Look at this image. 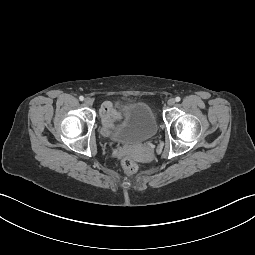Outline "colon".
Instances as JSON below:
<instances>
[{"label":"colon","instance_id":"5ec220e1","mask_svg":"<svg viewBox=\"0 0 255 255\" xmlns=\"http://www.w3.org/2000/svg\"><path fill=\"white\" fill-rule=\"evenodd\" d=\"M122 166L125 173L129 176L134 175L138 170V165L136 161L129 156H126L123 158Z\"/></svg>","mask_w":255,"mask_h":255}]
</instances>
